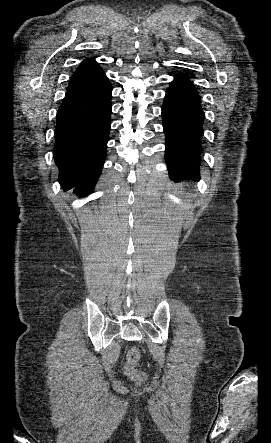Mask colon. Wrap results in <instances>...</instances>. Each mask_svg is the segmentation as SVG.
<instances>
[{"mask_svg": "<svg viewBox=\"0 0 271 443\" xmlns=\"http://www.w3.org/2000/svg\"><path fill=\"white\" fill-rule=\"evenodd\" d=\"M139 360L140 352L138 348H130L126 356L124 372L129 379L140 384L146 380V374L138 368Z\"/></svg>", "mask_w": 271, "mask_h": 443, "instance_id": "colon-1", "label": "colon"}]
</instances>
